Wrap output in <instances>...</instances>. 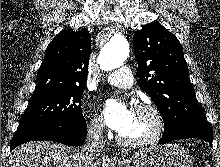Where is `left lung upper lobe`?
Masks as SVG:
<instances>
[{"instance_id": "1", "label": "left lung upper lobe", "mask_w": 220, "mask_h": 167, "mask_svg": "<svg viewBox=\"0 0 220 167\" xmlns=\"http://www.w3.org/2000/svg\"><path fill=\"white\" fill-rule=\"evenodd\" d=\"M133 46L138 84L162 115L163 135L177 134L188 125L207 121L176 36L158 22H151L134 33Z\"/></svg>"}]
</instances>
